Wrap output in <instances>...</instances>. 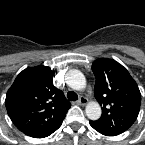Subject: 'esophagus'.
Listing matches in <instances>:
<instances>
[{
  "instance_id": "esophagus-1",
  "label": "esophagus",
  "mask_w": 145,
  "mask_h": 145,
  "mask_svg": "<svg viewBox=\"0 0 145 145\" xmlns=\"http://www.w3.org/2000/svg\"><path fill=\"white\" fill-rule=\"evenodd\" d=\"M87 102H88L87 98L81 96L76 103L79 105H86Z\"/></svg>"
}]
</instances>
